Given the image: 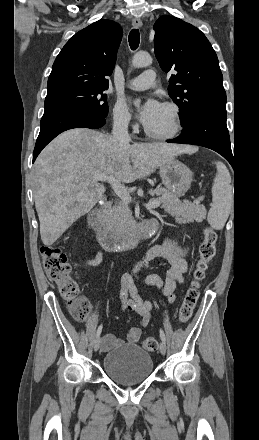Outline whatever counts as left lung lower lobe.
<instances>
[{"label": "left lung lower lobe", "instance_id": "left-lung-lower-lobe-1", "mask_svg": "<svg viewBox=\"0 0 259 440\" xmlns=\"http://www.w3.org/2000/svg\"><path fill=\"white\" fill-rule=\"evenodd\" d=\"M226 118V111L214 108L203 109L194 114L183 126L180 136L168 142L199 145L212 149L232 165L233 155Z\"/></svg>", "mask_w": 259, "mask_h": 440}]
</instances>
